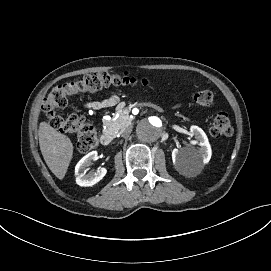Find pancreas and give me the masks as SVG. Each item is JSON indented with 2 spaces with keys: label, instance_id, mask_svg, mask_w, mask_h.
Listing matches in <instances>:
<instances>
[{
  "label": "pancreas",
  "instance_id": "obj_1",
  "mask_svg": "<svg viewBox=\"0 0 271 271\" xmlns=\"http://www.w3.org/2000/svg\"><path fill=\"white\" fill-rule=\"evenodd\" d=\"M130 110L128 108H123L119 113V117L112 120H103V124L108 128L118 132L121 128H126L131 123V118L129 117Z\"/></svg>",
  "mask_w": 271,
  "mask_h": 271
}]
</instances>
